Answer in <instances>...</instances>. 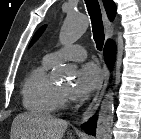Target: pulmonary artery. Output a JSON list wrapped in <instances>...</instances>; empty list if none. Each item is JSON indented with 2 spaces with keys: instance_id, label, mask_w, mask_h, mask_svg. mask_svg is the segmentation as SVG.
Here are the masks:
<instances>
[{
  "instance_id": "obj_1",
  "label": "pulmonary artery",
  "mask_w": 141,
  "mask_h": 139,
  "mask_svg": "<svg viewBox=\"0 0 141 139\" xmlns=\"http://www.w3.org/2000/svg\"><path fill=\"white\" fill-rule=\"evenodd\" d=\"M87 52L80 45H68L66 47L60 48L54 52L47 54L44 58L55 64L60 61L73 60L82 61L86 58Z\"/></svg>"
}]
</instances>
